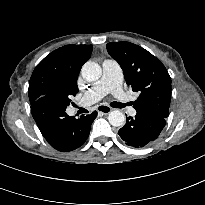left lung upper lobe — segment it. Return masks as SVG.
I'll use <instances>...</instances> for the list:
<instances>
[{"instance_id":"5c2ea615","label":"left lung upper lobe","mask_w":205,"mask_h":205,"mask_svg":"<svg viewBox=\"0 0 205 205\" xmlns=\"http://www.w3.org/2000/svg\"><path fill=\"white\" fill-rule=\"evenodd\" d=\"M108 53L121 66L126 83L140 96L133 103L138 112L169 116L171 78L159 59L130 42L106 45Z\"/></svg>"}]
</instances>
